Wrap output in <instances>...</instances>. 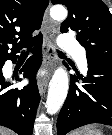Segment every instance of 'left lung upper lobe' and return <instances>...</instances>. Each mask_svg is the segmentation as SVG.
Here are the masks:
<instances>
[{
    "label": "left lung upper lobe",
    "instance_id": "obj_1",
    "mask_svg": "<svg viewBox=\"0 0 112 135\" xmlns=\"http://www.w3.org/2000/svg\"><path fill=\"white\" fill-rule=\"evenodd\" d=\"M68 9L60 31H75L88 62L112 63V15L101 0H51Z\"/></svg>",
    "mask_w": 112,
    "mask_h": 135
}]
</instances>
